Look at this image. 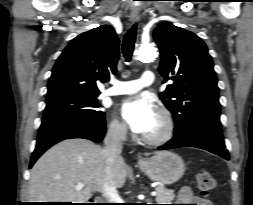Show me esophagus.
<instances>
[{
    "label": "esophagus",
    "mask_w": 253,
    "mask_h": 205,
    "mask_svg": "<svg viewBox=\"0 0 253 205\" xmlns=\"http://www.w3.org/2000/svg\"><path fill=\"white\" fill-rule=\"evenodd\" d=\"M139 18H140V15H139L137 12H132V13L130 14V21H131L132 23L137 22V21L139 20ZM138 162H139V163L143 162V158L139 157V158H138Z\"/></svg>",
    "instance_id": "obj_1"
}]
</instances>
